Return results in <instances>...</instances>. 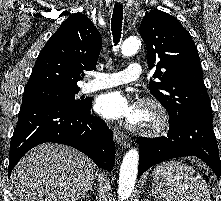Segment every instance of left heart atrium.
Returning <instances> with one entry per match:
<instances>
[{
    "mask_svg": "<svg viewBox=\"0 0 221 201\" xmlns=\"http://www.w3.org/2000/svg\"><path fill=\"white\" fill-rule=\"evenodd\" d=\"M96 111L110 120H126L134 122L139 114L138 107L121 90L104 93L98 97Z\"/></svg>",
    "mask_w": 221,
    "mask_h": 201,
    "instance_id": "left-heart-atrium-1",
    "label": "left heart atrium"
}]
</instances>
